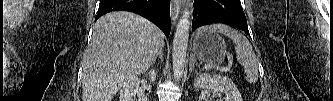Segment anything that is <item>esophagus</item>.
<instances>
[{"label": "esophagus", "instance_id": "esophagus-1", "mask_svg": "<svg viewBox=\"0 0 333 101\" xmlns=\"http://www.w3.org/2000/svg\"><path fill=\"white\" fill-rule=\"evenodd\" d=\"M170 12H171L172 24L175 25V23L178 19L179 13H180V1H178V0L171 1Z\"/></svg>", "mask_w": 333, "mask_h": 101}]
</instances>
